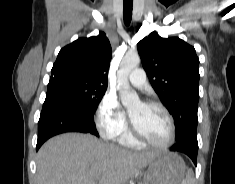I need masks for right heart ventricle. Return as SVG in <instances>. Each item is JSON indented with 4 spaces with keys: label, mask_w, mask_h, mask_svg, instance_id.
<instances>
[{
    "label": "right heart ventricle",
    "mask_w": 235,
    "mask_h": 184,
    "mask_svg": "<svg viewBox=\"0 0 235 184\" xmlns=\"http://www.w3.org/2000/svg\"><path fill=\"white\" fill-rule=\"evenodd\" d=\"M120 145L130 147L133 149H139L142 147L141 143L136 141L129 130H125L118 138Z\"/></svg>",
    "instance_id": "1"
}]
</instances>
